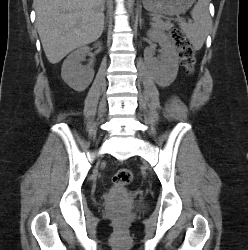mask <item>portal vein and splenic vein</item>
I'll list each match as a JSON object with an SVG mask.
<instances>
[{
    "instance_id": "1",
    "label": "portal vein and splenic vein",
    "mask_w": 248,
    "mask_h": 250,
    "mask_svg": "<svg viewBox=\"0 0 248 250\" xmlns=\"http://www.w3.org/2000/svg\"><path fill=\"white\" fill-rule=\"evenodd\" d=\"M160 17H161V16L153 17L152 20H153V21H156V20H158ZM189 22H191V20H189Z\"/></svg>"
}]
</instances>
